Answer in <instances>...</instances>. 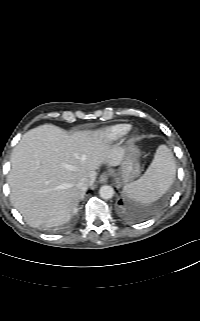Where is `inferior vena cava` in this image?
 <instances>
[{
  "label": "inferior vena cava",
  "instance_id": "1",
  "mask_svg": "<svg viewBox=\"0 0 200 321\" xmlns=\"http://www.w3.org/2000/svg\"><path fill=\"white\" fill-rule=\"evenodd\" d=\"M76 186H77L79 189H81V190H83V191H86L87 188H88V186H89V181H88L87 179H85V178L80 179V180L77 182Z\"/></svg>",
  "mask_w": 200,
  "mask_h": 321
}]
</instances>
